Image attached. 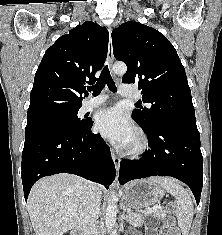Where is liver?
I'll return each instance as SVG.
<instances>
[{"mask_svg": "<svg viewBox=\"0 0 222 235\" xmlns=\"http://www.w3.org/2000/svg\"><path fill=\"white\" fill-rule=\"evenodd\" d=\"M88 187V181L73 174L62 173L37 181L28 198L35 234L63 235L74 228L80 222Z\"/></svg>", "mask_w": 222, "mask_h": 235, "instance_id": "obj_1", "label": "liver"}]
</instances>
